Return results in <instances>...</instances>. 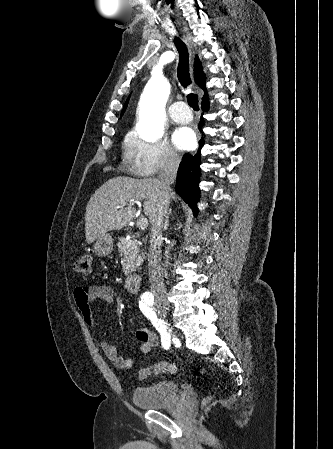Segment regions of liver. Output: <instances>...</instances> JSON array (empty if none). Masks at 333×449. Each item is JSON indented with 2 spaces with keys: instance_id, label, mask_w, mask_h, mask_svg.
<instances>
[{
  "instance_id": "liver-1",
  "label": "liver",
  "mask_w": 333,
  "mask_h": 449,
  "mask_svg": "<svg viewBox=\"0 0 333 449\" xmlns=\"http://www.w3.org/2000/svg\"><path fill=\"white\" fill-rule=\"evenodd\" d=\"M161 195L158 179H132L114 177L104 183L90 198L85 214V235L88 244L108 231L121 229L133 219L136 209L131 200H144V214L151 224L157 213ZM173 200L177 196L170 194ZM129 202V203H128Z\"/></svg>"
}]
</instances>
